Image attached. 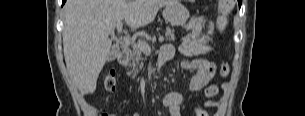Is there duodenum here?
Returning <instances> with one entry per match:
<instances>
[{"instance_id":"410a0bca","label":"duodenum","mask_w":305,"mask_h":116,"mask_svg":"<svg viewBox=\"0 0 305 116\" xmlns=\"http://www.w3.org/2000/svg\"><path fill=\"white\" fill-rule=\"evenodd\" d=\"M129 62V55L126 52H122L119 56H118V63L120 66H126ZM164 61H161V64H163Z\"/></svg>"}]
</instances>
